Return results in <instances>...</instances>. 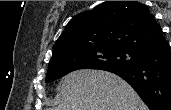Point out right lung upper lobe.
<instances>
[{
	"label": "right lung upper lobe",
	"instance_id": "1",
	"mask_svg": "<svg viewBox=\"0 0 171 110\" xmlns=\"http://www.w3.org/2000/svg\"><path fill=\"white\" fill-rule=\"evenodd\" d=\"M163 32L137 1H106L73 17L53 46L52 58L99 48L140 52L163 42Z\"/></svg>",
	"mask_w": 171,
	"mask_h": 110
}]
</instances>
